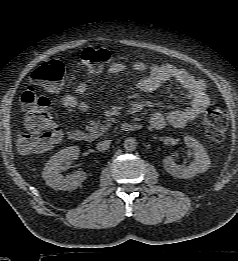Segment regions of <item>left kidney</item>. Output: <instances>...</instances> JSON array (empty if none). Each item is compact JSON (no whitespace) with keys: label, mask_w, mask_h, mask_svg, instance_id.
I'll return each instance as SVG.
<instances>
[{"label":"left kidney","mask_w":238,"mask_h":261,"mask_svg":"<svg viewBox=\"0 0 238 261\" xmlns=\"http://www.w3.org/2000/svg\"><path fill=\"white\" fill-rule=\"evenodd\" d=\"M185 144L193 149L195 160L188 166L176 165L171 156L163 160L164 169L174 177L188 179L198 173L206 172L210 167V159L203 146L193 137L185 136Z\"/></svg>","instance_id":"5707ae66"}]
</instances>
